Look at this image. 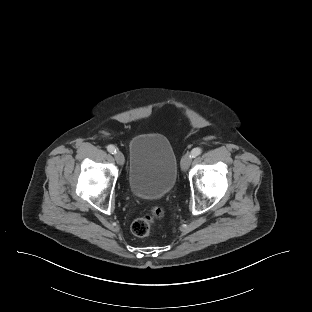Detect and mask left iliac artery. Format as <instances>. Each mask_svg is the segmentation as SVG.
<instances>
[{
    "label": "left iliac artery",
    "instance_id": "44dca946",
    "mask_svg": "<svg viewBox=\"0 0 312 312\" xmlns=\"http://www.w3.org/2000/svg\"><path fill=\"white\" fill-rule=\"evenodd\" d=\"M202 153V149L201 148H194L192 151H191V157L192 158H195L197 157L198 155H200Z\"/></svg>",
    "mask_w": 312,
    "mask_h": 312
}]
</instances>
